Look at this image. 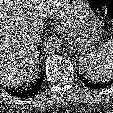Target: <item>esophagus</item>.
I'll use <instances>...</instances> for the list:
<instances>
[{
	"instance_id": "34e87169",
	"label": "esophagus",
	"mask_w": 113,
	"mask_h": 113,
	"mask_svg": "<svg viewBox=\"0 0 113 113\" xmlns=\"http://www.w3.org/2000/svg\"><path fill=\"white\" fill-rule=\"evenodd\" d=\"M57 30L60 34L64 35L65 33H67L68 26L67 24L58 25Z\"/></svg>"
}]
</instances>
